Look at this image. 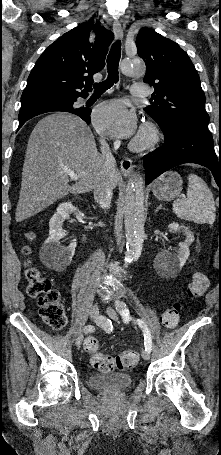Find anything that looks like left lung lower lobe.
<instances>
[{
	"mask_svg": "<svg viewBox=\"0 0 221 455\" xmlns=\"http://www.w3.org/2000/svg\"><path fill=\"white\" fill-rule=\"evenodd\" d=\"M143 163L146 184L175 166L196 163L212 171L221 189V155L215 153L212 134L208 128L181 125L172 134L165 135L164 145L145 155Z\"/></svg>",
	"mask_w": 221,
	"mask_h": 455,
	"instance_id": "0a47b994",
	"label": "left lung lower lobe"
}]
</instances>
